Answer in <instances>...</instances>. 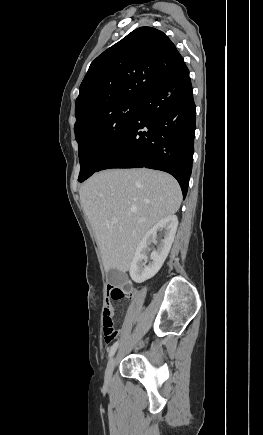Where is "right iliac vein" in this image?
<instances>
[{"mask_svg":"<svg viewBox=\"0 0 263 435\" xmlns=\"http://www.w3.org/2000/svg\"><path fill=\"white\" fill-rule=\"evenodd\" d=\"M116 365V356H112L105 369V381L110 382L114 367Z\"/></svg>","mask_w":263,"mask_h":435,"instance_id":"obj_1","label":"right iliac vein"}]
</instances>
